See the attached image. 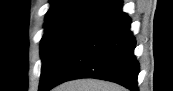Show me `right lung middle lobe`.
Wrapping results in <instances>:
<instances>
[{"instance_id": "obj_1", "label": "right lung middle lobe", "mask_w": 173, "mask_h": 91, "mask_svg": "<svg viewBox=\"0 0 173 91\" xmlns=\"http://www.w3.org/2000/svg\"><path fill=\"white\" fill-rule=\"evenodd\" d=\"M114 4L112 0H104L102 3L104 7H111ZM84 24L85 22L67 21L44 26L45 32L41 40L40 83L47 80L70 41Z\"/></svg>"}]
</instances>
